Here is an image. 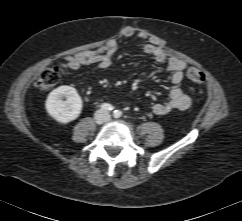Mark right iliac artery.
Masks as SVG:
<instances>
[{"label":"right iliac artery","instance_id":"obj_1","mask_svg":"<svg viewBox=\"0 0 242 221\" xmlns=\"http://www.w3.org/2000/svg\"><path fill=\"white\" fill-rule=\"evenodd\" d=\"M100 107L104 111H111V110H113V106L111 104H109V103H103Z\"/></svg>","mask_w":242,"mask_h":221}]
</instances>
